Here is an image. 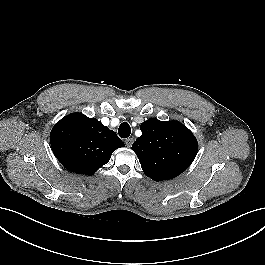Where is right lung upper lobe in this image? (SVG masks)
Masks as SVG:
<instances>
[{
	"mask_svg": "<svg viewBox=\"0 0 265 265\" xmlns=\"http://www.w3.org/2000/svg\"><path fill=\"white\" fill-rule=\"evenodd\" d=\"M52 150L68 170L92 175L108 163L124 143L113 130L95 118L73 113L58 121L50 133Z\"/></svg>",
	"mask_w": 265,
	"mask_h": 265,
	"instance_id": "cb5924a9",
	"label": "right lung upper lobe"
}]
</instances>
